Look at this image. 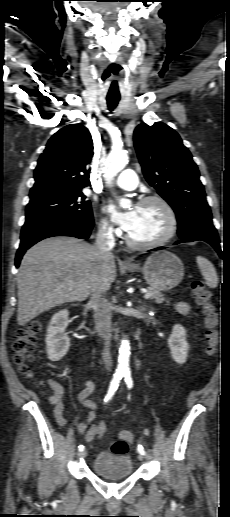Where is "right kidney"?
I'll list each match as a JSON object with an SVG mask.
<instances>
[{
  "mask_svg": "<svg viewBox=\"0 0 230 517\" xmlns=\"http://www.w3.org/2000/svg\"><path fill=\"white\" fill-rule=\"evenodd\" d=\"M68 318V310H61L53 315L47 328L46 351L51 361H59L69 350L70 338L65 334Z\"/></svg>",
  "mask_w": 230,
  "mask_h": 517,
  "instance_id": "right-kidney-1",
  "label": "right kidney"
}]
</instances>
